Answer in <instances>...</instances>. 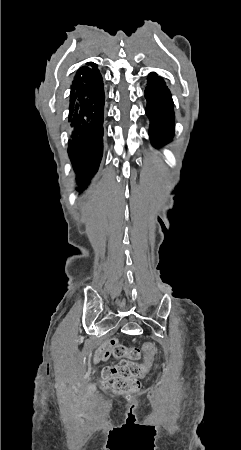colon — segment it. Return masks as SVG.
Segmentation results:
<instances>
[{"mask_svg": "<svg viewBox=\"0 0 241 450\" xmlns=\"http://www.w3.org/2000/svg\"><path fill=\"white\" fill-rule=\"evenodd\" d=\"M143 350L145 355V361L142 364H137L135 361L124 360L115 365V369L108 367L102 370V382L101 385L104 388H109L114 392L122 391H134L140 388V384L132 380V375L143 376L146 374V370L152 368L154 362V354L157 352V348L154 343L146 341L143 344ZM111 353L115 357H129L131 359H137L140 357V350L137 348L127 349L124 346H116L111 350ZM164 353L161 351L157 355L160 357Z\"/></svg>", "mask_w": 241, "mask_h": 450, "instance_id": "colon-1", "label": "colon"}]
</instances>
